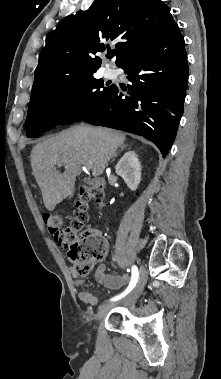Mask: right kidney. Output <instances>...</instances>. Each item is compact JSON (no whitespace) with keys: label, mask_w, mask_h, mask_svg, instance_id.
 <instances>
[{"label":"right kidney","mask_w":221,"mask_h":379,"mask_svg":"<svg viewBox=\"0 0 221 379\" xmlns=\"http://www.w3.org/2000/svg\"><path fill=\"white\" fill-rule=\"evenodd\" d=\"M116 173L135 191L141 181V163L134 151L126 152L116 165Z\"/></svg>","instance_id":"ca27d5eb"}]
</instances>
